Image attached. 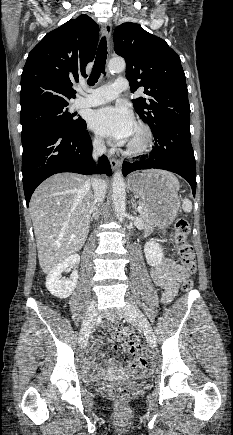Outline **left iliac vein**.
<instances>
[{"mask_svg":"<svg viewBox=\"0 0 233 435\" xmlns=\"http://www.w3.org/2000/svg\"><path fill=\"white\" fill-rule=\"evenodd\" d=\"M124 318L131 323L136 324L141 330L143 331L149 345L151 347H154L156 344V336L154 334V331L145 317V315L140 311V309L131 304H126V309L124 311Z\"/></svg>","mask_w":233,"mask_h":435,"instance_id":"left-iliac-vein-1","label":"left iliac vein"}]
</instances>
